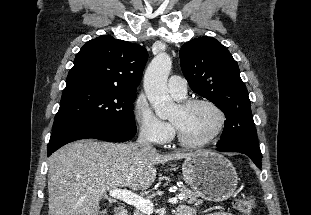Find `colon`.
I'll return each instance as SVG.
<instances>
[{"mask_svg": "<svg viewBox=\"0 0 311 215\" xmlns=\"http://www.w3.org/2000/svg\"><path fill=\"white\" fill-rule=\"evenodd\" d=\"M234 208L240 215H253L255 202L250 198H240L234 201Z\"/></svg>", "mask_w": 311, "mask_h": 215, "instance_id": "5ec220e1", "label": "colon"}]
</instances>
